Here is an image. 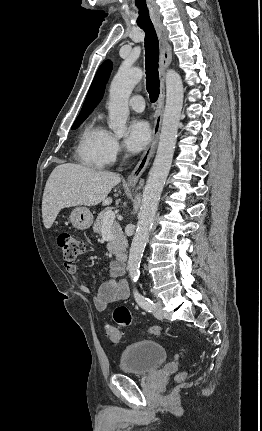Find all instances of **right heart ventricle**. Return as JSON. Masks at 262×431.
<instances>
[{
    "mask_svg": "<svg viewBox=\"0 0 262 431\" xmlns=\"http://www.w3.org/2000/svg\"><path fill=\"white\" fill-rule=\"evenodd\" d=\"M107 131L98 118L91 119L83 128L77 146L80 161L90 168H102L106 164L104 142Z\"/></svg>",
    "mask_w": 262,
    "mask_h": 431,
    "instance_id": "right-heart-ventricle-1",
    "label": "right heart ventricle"
}]
</instances>
